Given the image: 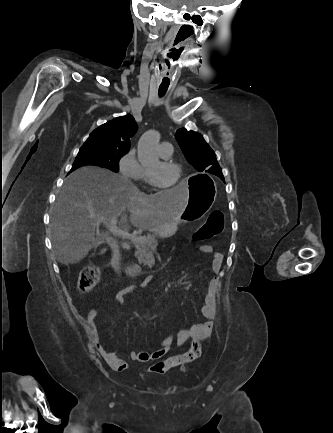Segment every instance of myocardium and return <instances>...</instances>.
I'll list each match as a JSON object with an SVG mask.
<instances>
[{
  "label": "myocardium",
  "instance_id": "myocardium-1",
  "mask_svg": "<svg viewBox=\"0 0 333 433\" xmlns=\"http://www.w3.org/2000/svg\"><path fill=\"white\" fill-rule=\"evenodd\" d=\"M161 162H162L165 166L172 167V168H174V169L176 170V172H177V176H176V179H175V181L173 182V184L170 185V186H168V187H166V186H162V185L158 184V183L155 181V179L153 178L152 174H151L149 171H147L148 180H149V182H150V184H151L152 186L156 187L157 189H159V190H161V191L172 190V189L176 188V186L178 185V181H179V173H180V166H179L176 162H174V161H172V160H169V159H164V160H162Z\"/></svg>",
  "mask_w": 333,
  "mask_h": 433
}]
</instances>
